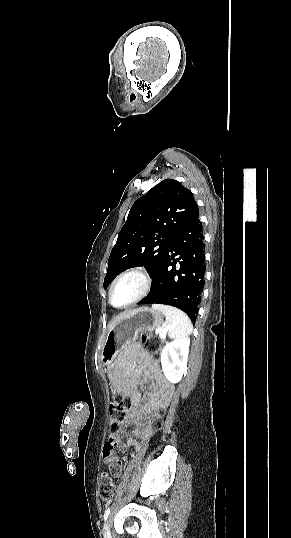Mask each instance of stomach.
<instances>
[{"instance_id":"stomach-1","label":"stomach","mask_w":291,"mask_h":538,"mask_svg":"<svg viewBox=\"0 0 291 538\" xmlns=\"http://www.w3.org/2000/svg\"><path fill=\"white\" fill-rule=\"evenodd\" d=\"M162 322L163 314L160 311L148 307L131 311L108 331L101 351L103 365L119 363L115 358L123 348L136 340L139 332L157 329Z\"/></svg>"}]
</instances>
